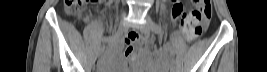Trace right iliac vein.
I'll list each match as a JSON object with an SVG mask.
<instances>
[{
  "label": "right iliac vein",
  "instance_id": "obj_1",
  "mask_svg": "<svg viewBox=\"0 0 267 72\" xmlns=\"http://www.w3.org/2000/svg\"><path fill=\"white\" fill-rule=\"evenodd\" d=\"M126 16H127V13H124V15L122 16V19H121L120 23L117 26V32H119V33H122V31L124 29V23L126 21ZM103 51H104V49H100L98 55L101 56L102 53H103Z\"/></svg>",
  "mask_w": 267,
  "mask_h": 72
}]
</instances>
